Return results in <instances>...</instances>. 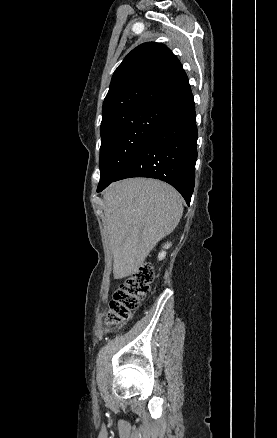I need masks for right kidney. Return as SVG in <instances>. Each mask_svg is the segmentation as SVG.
Listing matches in <instances>:
<instances>
[{"mask_svg": "<svg viewBox=\"0 0 277 438\" xmlns=\"http://www.w3.org/2000/svg\"><path fill=\"white\" fill-rule=\"evenodd\" d=\"M170 246H172V244H165V246H163L164 250H168V248H170ZM166 256V252H160V254H158V260H164Z\"/></svg>", "mask_w": 277, "mask_h": 438, "instance_id": "1", "label": "right kidney"}]
</instances>
